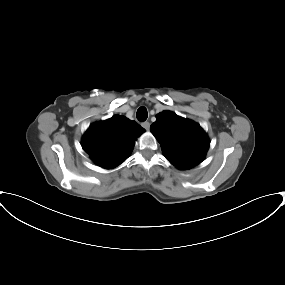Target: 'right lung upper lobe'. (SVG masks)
<instances>
[{"instance_id": "cb5924a9", "label": "right lung upper lobe", "mask_w": 285, "mask_h": 285, "mask_svg": "<svg viewBox=\"0 0 285 285\" xmlns=\"http://www.w3.org/2000/svg\"><path fill=\"white\" fill-rule=\"evenodd\" d=\"M144 131L137 122L114 115L90 125L82 138V148L97 165L112 169L129 156Z\"/></svg>"}]
</instances>
